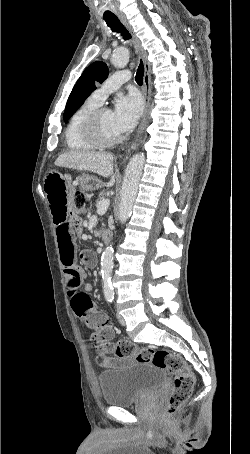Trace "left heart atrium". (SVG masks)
I'll return each mask as SVG.
<instances>
[{
  "mask_svg": "<svg viewBox=\"0 0 250 454\" xmlns=\"http://www.w3.org/2000/svg\"><path fill=\"white\" fill-rule=\"evenodd\" d=\"M143 111V100L139 93L132 92L120 96L115 101L113 120L120 133L131 130L137 123Z\"/></svg>",
  "mask_w": 250,
  "mask_h": 454,
  "instance_id": "1",
  "label": "left heart atrium"
}]
</instances>
